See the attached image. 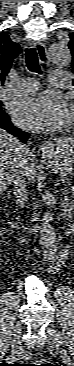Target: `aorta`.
Returning <instances> with one entry per match:
<instances>
[{
    "instance_id": "aorta-1",
    "label": "aorta",
    "mask_w": 74,
    "mask_h": 366,
    "mask_svg": "<svg viewBox=\"0 0 74 366\" xmlns=\"http://www.w3.org/2000/svg\"><path fill=\"white\" fill-rule=\"evenodd\" d=\"M71 52L64 43H51L47 47V60L58 68H64L71 64ZM40 244L46 249L51 260L57 258V240L52 225L44 221L39 227Z\"/></svg>"
}]
</instances>
